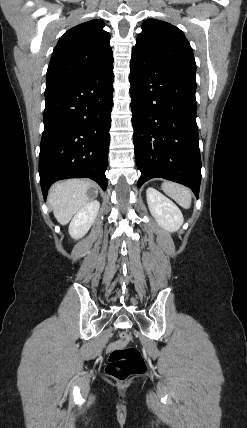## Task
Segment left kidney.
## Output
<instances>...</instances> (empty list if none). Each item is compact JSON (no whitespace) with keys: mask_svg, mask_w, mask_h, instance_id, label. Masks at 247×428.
Masks as SVG:
<instances>
[{"mask_svg":"<svg viewBox=\"0 0 247 428\" xmlns=\"http://www.w3.org/2000/svg\"><path fill=\"white\" fill-rule=\"evenodd\" d=\"M147 204L155 221L166 231H177L184 219L180 209L156 189L146 190Z\"/></svg>","mask_w":247,"mask_h":428,"instance_id":"left-kidney-1","label":"left kidney"}]
</instances>
